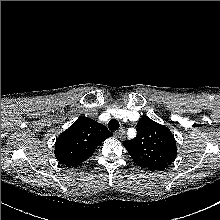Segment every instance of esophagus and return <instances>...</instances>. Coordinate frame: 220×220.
<instances>
[{
	"mask_svg": "<svg viewBox=\"0 0 220 220\" xmlns=\"http://www.w3.org/2000/svg\"><path fill=\"white\" fill-rule=\"evenodd\" d=\"M114 135H115L117 138L123 139V138L125 137V132H124L123 129H121V130L115 131V132H114Z\"/></svg>",
	"mask_w": 220,
	"mask_h": 220,
	"instance_id": "obj_1",
	"label": "esophagus"
}]
</instances>
